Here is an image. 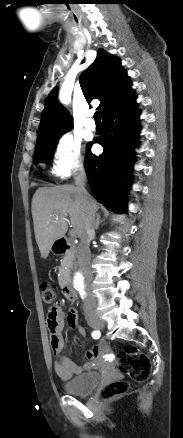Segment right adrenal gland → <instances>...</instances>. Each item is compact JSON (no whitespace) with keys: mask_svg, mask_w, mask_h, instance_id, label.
<instances>
[{"mask_svg":"<svg viewBox=\"0 0 183 438\" xmlns=\"http://www.w3.org/2000/svg\"><path fill=\"white\" fill-rule=\"evenodd\" d=\"M103 221L100 219V214L97 213L96 214V225H95V229L98 230L100 223H102Z\"/></svg>","mask_w":183,"mask_h":438,"instance_id":"obj_1","label":"right adrenal gland"}]
</instances>
